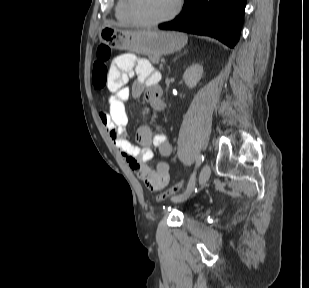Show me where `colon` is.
Returning <instances> with one entry per match:
<instances>
[{
  "label": "colon",
  "instance_id": "1",
  "mask_svg": "<svg viewBox=\"0 0 309 288\" xmlns=\"http://www.w3.org/2000/svg\"><path fill=\"white\" fill-rule=\"evenodd\" d=\"M113 56V50L108 45H100L97 49V60L92 67V85L97 91L104 90L108 83L109 67L108 62ZM185 187V181L181 180L170 188L158 193L155 196L157 201H164L176 195Z\"/></svg>",
  "mask_w": 309,
  "mask_h": 288
}]
</instances>
